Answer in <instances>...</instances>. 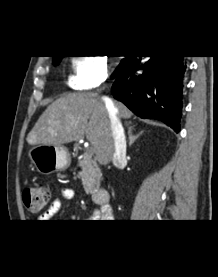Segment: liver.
I'll list each match as a JSON object with an SVG mask.
<instances>
[{"instance_id":"obj_1","label":"liver","mask_w":218,"mask_h":277,"mask_svg":"<svg viewBox=\"0 0 218 277\" xmlns=\"http://www.w3.org/2000/svg\"><path fill=\"white\" fill-rule=\"evenodd\" d=\"M120 118L128 119L131 111L114 101ZM130 122H125L128 126ZM86 135L96 159L110 163L114 153L111 124L105 103L94 93H70L57 99L40 116L27 136L30 145L60 146L79 141Z\"/></svg>"}]
</instances>
